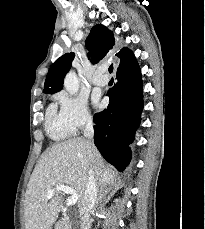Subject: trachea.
Listing matches in <instances>:
<instances>
[{
	"instance_id": "3493384b",
	"label": "trachea",
	"mask_w": 205,
	"mask_h": 229,
	"mask_svg": "<svg viewBox=\"0 0 205 229\" xmlns=\"http://www.w3.org/2000/svg\"><path fill=\"white\" fill-rule=\"evenodd\" d=\"M112 71H113V66L111 65V66L109 67V72L112 73Z\"/></svg>"
}]
</instances>
